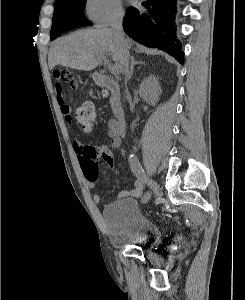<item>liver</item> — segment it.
<instances>
[{"instance_id": "obj_1", "label": "liver", "mask_w": 245, "mask_h": 300, "mask_svg": "<svg viewBox=\"0 0 245 300\" xmlns=\"http://www.w3.org/2000/svg\"><path fill=\"white\" fill-rule=\"evenodd\" d=\"M131 47V41L126 39ZM109 53L112 60L124 71V49L113 29H88L74 32L56 41L50 48L48 65L70 67L91 71L100 63L104 54Z\"/></svg>"}]
</instances>
